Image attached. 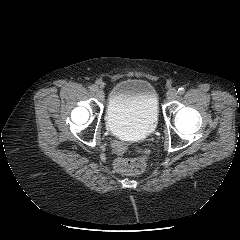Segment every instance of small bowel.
<instances>
[{
  "label": "small bowel",
  "instance_id": "1",
  "mask_svg": "<svg viewBox=\"0 0 240 240\" xmlns=\"http://www.w3.org/2000/svg\"><path fill=\"white\" fill-rule=\"evenodd\" d=\"M106 149L109 152H115L117 155H126L129 152V147L126 144H120L117 140L109 141L106 144Z\"/></svg>",
  "mask_w": 240,
  "mask_h": 240
}]
</instances>
